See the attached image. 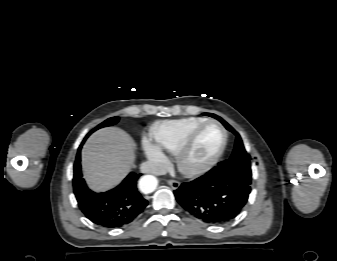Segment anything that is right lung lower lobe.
Returning <instances> with one entry per match:
<instances>
[{"label":"right lung lower lobe","instance_id":"right-lung-lower-lobe-1","mask_svg":"<svg viewBox=\"0 0 337 261\" xmlns=\"http://www.w3.org/2000/svg\"><path fill=\"white\" fill-rule=\"evenodd\" d=\"M80 145L74 163L73 189L78 206L93 223L105 228H119L132 222L147 206L137 189L141 174L131 172L116 188L104 192L91 191L82 178Z\"/></svg>","mask_w":337,"mask_h":261}]
</instances>
